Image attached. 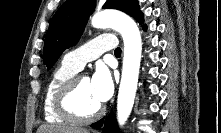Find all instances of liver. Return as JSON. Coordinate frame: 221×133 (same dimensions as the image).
Instances as JSON below:
<instances>
[{
  "mask_svg": "<svg viewBox=\"0 0 221 133\" xmlns=\"http://www.w3.org/2000/svg\"><path fill=\"white\" fill-rule=\"evenodd\" d=\"M37 133H89V131L73 127L42 125L37 130Z\"/></svg>",
  "mask_w": 221,
  "mask_h": 133,
  "instance_id": "1",
  "label": "liver"
}]
</instances>
